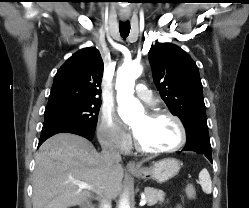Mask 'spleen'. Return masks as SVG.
<instances>
[{
	"label": "spleen",
	"mask_w": 249,
	"mask_h": 208,
	"mask_svg": "<svg viewBox=\"0 0 249 208\" xmlns=\"http://www.w3.org/2000/svg\"><path fill=\"white\" fill-rule=\"evenodd\" d=\"M199 183L202 187V190L206 194H210L212 191V181L209 172L207 169H202L199 173Z\"/></svg>",
	"instance_id": "1"
}]
</instances>
